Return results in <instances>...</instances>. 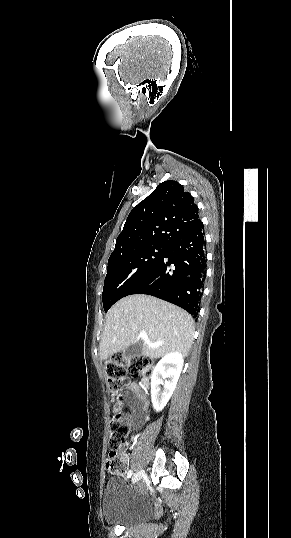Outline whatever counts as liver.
Masks as SVG:
<instances>
[{"instance_id": "liver-1", "label": "liver", "mask_w": 291, "mask_h": 538, "mask_svg": "<svg viewBox=\"0 0 291 538\" xmlns=\"http://www.w3.org/2000/svg\"><path fill=\"white\" fill-rule=\"evenodd\" d=\"M142 331L147 341L140 337ZM193 335L194 320L186 311L153 296L135 294L122 298L107 312L100 357L106 360L135 343L141 344V340L142 355L151 359L170 352L187 356Z\"/></svg>"}]
</instances>
